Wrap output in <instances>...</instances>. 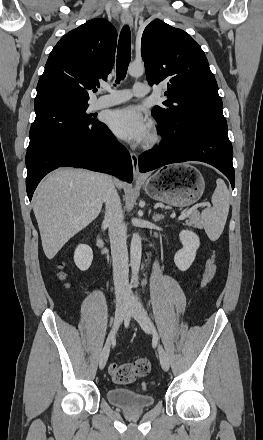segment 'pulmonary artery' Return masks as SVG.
Instances as JSON below:
<instances>
[{
	"mask_svg": "<svg viewBox=\"0 0 263 440\" xmlns=\"http://www.w3.org/2000/svg\"><path fill=\"white\" fill-rule=\"evenodd\" d=\"M150 91L146 83L137 82L132 89L110 90L108 94L98 97L92 104L94 109L113 106L129 100L131 97H142Z\"/></svg>",
	"mask_w": 263,
	"mask_h": 440,
	"instance_id": "1",
	"label": "pulmonary artery"
}]
</instances>
